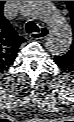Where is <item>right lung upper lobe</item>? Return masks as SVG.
Segmentation results:
<instances>
[{"mask_svg": "<svg viewBox=\"0 0 74 122\" xmlns=\"http://www.w3.org/2000/svg\"><path fill=\"white\" fill-rule=\"evenodd\" d=\"M4 3L5 1H0V72L7 70L13 64L19 46L26 41L4 17Z\"/></svg>", "mask_w": 74, "mask_h": 122, "instance_id": "obj_1", "label": "right lung upper lobe"}]
</instances>
